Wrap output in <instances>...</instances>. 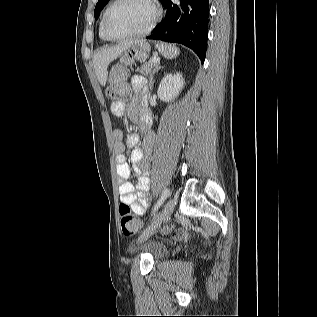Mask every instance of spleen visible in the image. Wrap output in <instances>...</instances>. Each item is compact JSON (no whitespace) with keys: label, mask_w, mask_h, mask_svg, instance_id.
Masks as SVG:
<instances>
[{"label":"spleen","mask_w":317,"mask_h":317,"mask_svg":"<svg viewBox=\"0 0 317 317\" xmlns=\"http://www.w3.org/2000/svg\"><path fill=\"white\" fill-rule=\"evenodd\" d=\"M159 52L167 59H173L179 55V49L171 44L161 43L157 44Z\"/></svg>","instance_id":"obj_1"}]
</instances>
